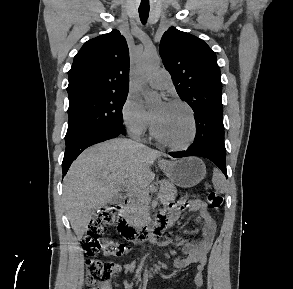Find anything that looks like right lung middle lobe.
I'll list each match as a JSON object with an SVG mask.
<instances>
[{
    "instance_id": "dd1d6c3e",
    "label": "right lung middle lobe",
    "mask_w": 293,
    "mask_h": 289,
    "mask_svg": "<svg viewBox=\"0 0 293 289\" xmlns=\"http://www.w3.org/2000/svg\"><path fill=\"white\" fill-rule=\"evenodd\" d=\"M127 93L84 96L69 101L65 141L89 129L123 124L122 108Z\"/></svg>"
}]
</instances>
